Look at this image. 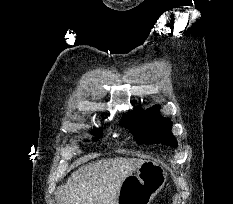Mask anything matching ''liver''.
Here are the masks:
<instances>
[{"mask_svg":"<svg viewBox=\"0 0 233 204\" xmlns=\"http://www.w3.org/2000/svg\"><path fill=\"white\" fill-rule=\"evenodd\" d=\"M142 159H101L83 165L68 178L61 204H116L120 187Z\"/></svg>","mask_w":233,"mask_h":204,"instance_id":"1","label":"liver"}]
</instances>
